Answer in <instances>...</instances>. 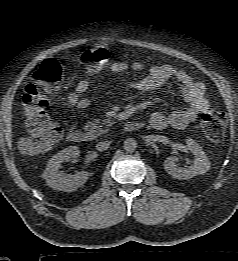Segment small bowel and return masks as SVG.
Masks as SVG:
<instances>
[{"mask_svg": "<svg viewBox=\"0 0 238 261\" xmlns=\"http://www.w3.org/2000/svg\"><path fill=\"white\" fill-rule=\"evenodd\" d=\"M110 69L115 73H122L131 70L135 73L142 72L145 67L140 62L128 64L125 61H112ZM175 80L181 86L183 97L187 102V107L173 110L168 114L155 112L150 117V125L155 130H163L167 127L183 129L187 125L195 122L199 115L207 111L209 101L206 97L205 85L202 82L195 81L184 70L177 69L172 65H154L151 66L146 75L134 81L131 87L142 92H150L160 88L168 80ZM90 86L89 80L80 81L75 91L67 97V103L80 109H86L89 106V99L81 97Z\"/></svg>", "mask_w": 238, "mask_h": 261, "instance_id": "obj_1", "label": "small bowel"}]
</instances>
